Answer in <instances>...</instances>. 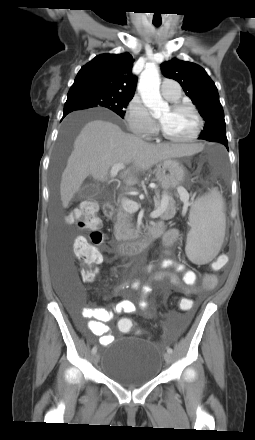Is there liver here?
Returning <instances> with one entry per match:
<instances>
[{
    "label": "liver",
    "instance_id": "6515ba94",
    "mask_svg": "<svg viewBox=\"0 0 255 440\" xmlns=\"http://www.w3.org/2000/svg\"><path fill=\"white\" fill-rule=\"evenodd\" d=\"M202 149L201 144H150L124 133L118 125L109 121H89L76 137L62 173V205L64 208L68 206L89 175L98 181H107L109 171L115 164H132L122 174L126 185L132 186L138 182L135 174L139 171L149 170L166 159L193 155Z\"/></svg>",
    "mask_w": 255,
    "mask_h": 440
}]
</instances>
